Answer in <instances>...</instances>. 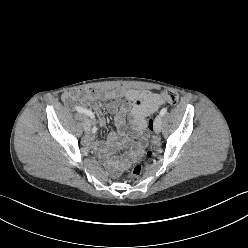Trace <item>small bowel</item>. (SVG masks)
Here are the masks:
<instances>
[{
    "label": "small bowel",
    "mask_w": 248,
    "mask_h": 248,
    "mask_svg": "<svg viewBox=\"0 0 248 248\" xmlns=\"http://www.w3.org/2000/svg\"><path fill=\"white\" fill-rule=\"evenodd\" d=\"M120 97L125 98V102L122 104L118 101ZM62 100L68 107H72L77 101L86 105H92L101 125L106 123V118L101 109L93 103L96 100L107 102V110L115 115L114 123L116 130L109 135L104 144L94 141L93 134L95 131L87 133L84 140L87 145L93 146L104 154L110 153L121 145L129 147V155L121 160L115 161L114 164L117 165L127 164L138 156L141 143L135 142L134 139L144 138L143 131L146 127L147 117L156 112L160 106L164 104V101L156 93L150 90L137 89L105 91L79 89L65 92L62 95ZM128 115L131 116L132 137H128L123 131Z\"/></svg>",
    "instance_id": "obj_1"
}]
</instances>
